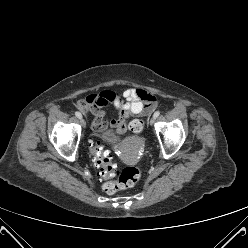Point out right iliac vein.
Returning <instances> with one entry per match:
<instances>
[{
  "instance_id": "obj_1",
  "label": "right iliac vein",
  "mask_w": 248,
  "mask_h": 248,
  "mask_svg": "<svg viewBox=\"0 0 248 248\" xmlns=\"http://www.w3.org/2000/svg\"><path fill=\"white\" fill-rule=\"evenodd\" d=\"M80 122H81V124H82V126H83V127H85V126H86V123H85V121H84V119H83V118H80Z\"/></svg>"
}]
</instances>
